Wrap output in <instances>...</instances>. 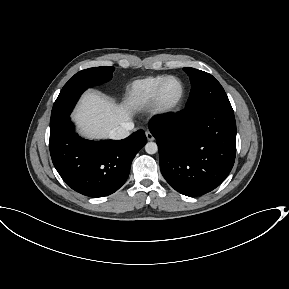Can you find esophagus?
Masks as SVG:
<instances>
[{"instance_id":"34e87169","label":"esophagus","mask_w":289,"mask_h":289,"mask_svg":"<svg viewBox=\"0 0 289 289\" xmlns=\"http://www.w3.org/2000/svg\"><path fill=\"white\" fill-rule=\"evenodd\" d=\"M145 135H146L147 140H149V141H153L154 140V136L152 135L151 132L146 131Z\"/></svg>"}]
</instances>
